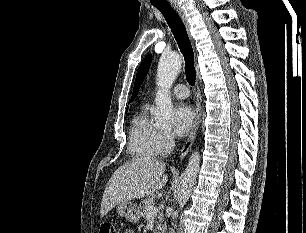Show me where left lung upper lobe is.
Listing matches in <instances>:
<instances>
[{
    "label": "left lung upper lobe",
    "mask_w": 306,
    "mask_h": 233,
    "mask_svg": "<svg viewBox=\"0 0 306 233\" xmlns=\"http://www.w3.org/2000/svg\"><path fill=\"white\" fill-rule=\"evenodd\" d=\"M151 60H152L151 55L146 56L143 59L141 65L138 68L137 75H136V80H135V84H134V88H133L132 100L136 97V95L139 91V88L141 86V83H142L143 79L145 78V76L147 75V72H148L150 64H151Z\"/></svg>",
    "instance_id": "5c2ea615"
}]
</instances>
